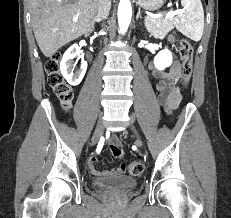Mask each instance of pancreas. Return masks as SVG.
<instances>
[{"instance_id": "pancreas-1", "label": "pancreas", "mask_w": 231, "mask_h": 218, "mask_svg": "<svg viewBox=\"0 0 231 218\" xmlns=\"http://www.w3.org/2000/svg\"><path fill=\"white\" fill-rule=\"evenodd\" d=\"M175 20V18L156 19L147 17L145 26L154 37L164 38L174 28Z\"/></svg>"}]
</instances>
